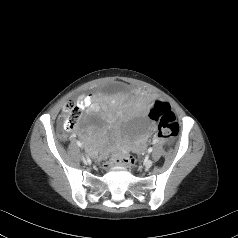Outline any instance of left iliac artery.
Wrapping results in <instances>:
<instances>
[{"label": "left iliac artery", "mask_w": 238, "mask_h": 238, "mask_svg": "<svg viewBox=\"0 0 238 238\" xmlns=\"http://www.w3.org/2000/svg\"><path fill=\"white\" fill-rule=\"evenodd\" d=\"M152 151H153V148L150 147V148L148 149V153H151Z\"/></svg>", "instance_id": "44dca946"}]
</instances>
